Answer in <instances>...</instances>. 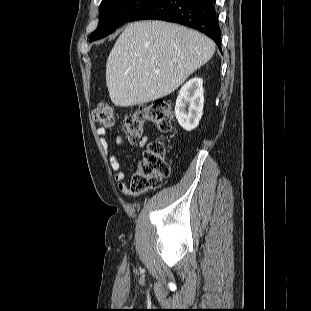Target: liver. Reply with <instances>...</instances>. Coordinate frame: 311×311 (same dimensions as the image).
I'll list each match as a JSON object with an SVG mask.
<instances>
[{"instance_id":"liver-1","label":"liver","mask_w":311,"mask_h":311,"mask_svg":"<svg viewBox=\"0 0 311 311\" xmlns=\"http://www.w3.org/2000/svg\"><path fill=\"white\" fill-rule=\"evenodd\" d=\"M215 43L206 35L164 21L128 24L106 63V85L116 106L148 103L174 92L207 63Z\"/></svg>"}]
</instances>
